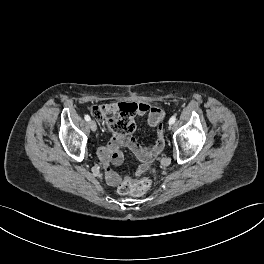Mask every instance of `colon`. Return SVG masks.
Here are the masks:
<instances>
[{"instance_id":"5ec220e1","label":"colon","mask_w":264,"mask_h":264,"mask_svg":"<svg viewBox=\"0 0 264 264\" xmlns=\"http://www.w3.org/2000/svg\"><path fill=\"white\" fill-rule=\"evenodd\" d=\"M137 112L135 103H118L93 106L91 113L98 120H106L111 130L121 135H127L134 131V116ZM158 141H163L162 125L158 128ZM149 178L133 179L127 175L119 185L118 191L123 195L140 196L151 187Z\"/></svg>"}]
</instances>
